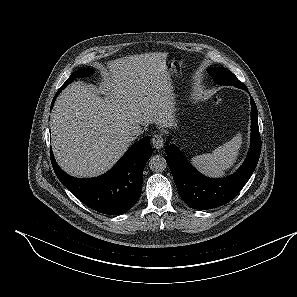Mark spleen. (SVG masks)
<instances>
[{"label":"spleen","instance_id":"spleen-1","mask_svg":"<svg viewBox=\"0 0 297 297\" xmlns=\"http://www.w3.org/2000/svg\"><path fill=\"white\" fill-rule=\"evenodd\" d=\"M241 144L242 136L238 133L229 142L218 147L212 153L195 156L191 159V162L206 175L223 176L224 171L236 162Z\"/></svg>","mask_w":297,"mask_h":297}]
</instances>
